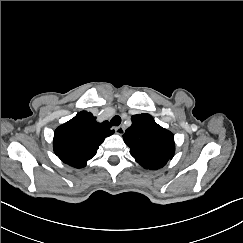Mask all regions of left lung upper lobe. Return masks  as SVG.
Listing matches in <instances>:
<instances>
[{
  "mask_svg": "<svg viewBox=\"0 0 243 243\" xmlns=\"http://www.w3.org/2000/svg\"><path fill=\"white\" fill-rule=\"evenodd\" d=\"M132 125L123 135L130 154L144 168H162L173 158L174 136L158 125L149 114L133 115Z\"/></svg>",
  "mask_w": 243,
  "mask_h": 243,
  "instance_id": "left-lung-upper-lobe-1",
  "label": "left lung upper lobe"
}]
</instances>
